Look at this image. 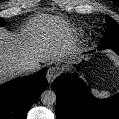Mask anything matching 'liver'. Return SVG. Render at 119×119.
I'll return each mask as SVG.
<instances>
[{
	"mask_svg": "<svg viewBox=\"0 0 119 119\" xmlns=\"http://www.w3.org/2000/svg\"><path fill=\"white\" fill-rule=\"evenodd\" d=\"M58 26L63 28L64 23L50 18L32 23L21 34L0 28V84L22 75V66L37 65L39 69L40 63L67 61L76 47L66 33L49 35V29Z\"/></svg>",
	"mask_w": 119,
	"mask_h": 119,
	"instance_id": "6515ba94",
	"label": "liver"
}]
</instances>
